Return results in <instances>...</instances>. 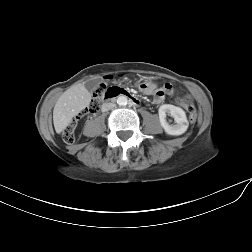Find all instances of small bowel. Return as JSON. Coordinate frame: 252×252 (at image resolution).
Masks as SVG:
<instances>
[{
	"instance_id": "c3829d8e",
	"label": "small bowel",
	"mask_w": 252,
	"mask_h": 252,
	"mask_svg": "<svg viewBox=\"0 0 252 252\" xmlns=\"http://www.w3.org/2000/svg\"><path fill=\"white\" fill-rule=\"evenodd\" d=\"M139 89H141L143 92L147 94H151L155 92L154 102L160 103L164 99V96L169 94L171 95L173 93L172 85L168 82L161 84L158 86L156 83H151L149 87H144L140 84H138Z\"/></svg>"
}]
</instances>
